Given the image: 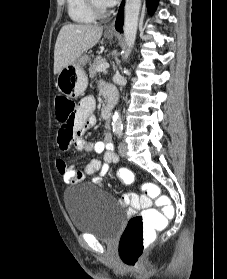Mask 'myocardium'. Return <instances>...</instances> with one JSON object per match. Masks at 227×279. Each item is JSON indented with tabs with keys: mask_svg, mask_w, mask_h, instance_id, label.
Listing matches in <instances>:
<instances>
[{
	"mask_svg": "<svg viewBox=\"0 0 227 279\" xmlns=\"http://www.w3.org/2000/svg\"><path fill=\"white\" fill-rule=\"evenodd\" d=\"M85 3L89 9V11L95 16V17H103L108 12V7H101L96 4L95 0H85Z\"/></svg>",
	"mask_w": 227,
	"mask_h": 279,
	"instance_id": "1",
	"label": "myocardium"
}]
</instances>
